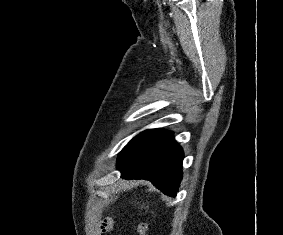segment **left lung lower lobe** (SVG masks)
<instances>
[{
	"label": "left lung lower lobe",
	"instance_id": "left-lung-lower-lobe-1",
	"mask_svg": "<svg viewBox=\"0 0 283 235\" xmlns=\"http://www.w3.org/2000/svg\"><path fill=\"white\" fill-rule=\"evenodd\" d=\"M182 149L171 132L146 130L120 152L117 167L125 179H145L175 197L182 178Z\"/></svg>",
	"mask_w": 283,
	"mask_h": 235
}]
</instances>
